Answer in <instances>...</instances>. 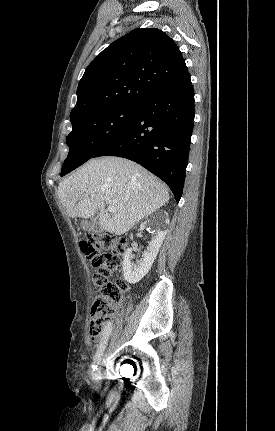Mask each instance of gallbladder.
<instances>
[{
    "label": "gallbladder",
    "instance_id": "obj_1",
    "mask_svg": "<svg viewBox=\"0 0 275 431\" xmlns=\"http://www.w3.org/2000/svg\"><path fill=\"white\" fill-rule=\"evenodd\" d=\"M91 220L92 221H96L97 220V216L93 217Z\"/></svg>",
    "mask_w": 275,
    "mask_h": 431
}]
</instances>
